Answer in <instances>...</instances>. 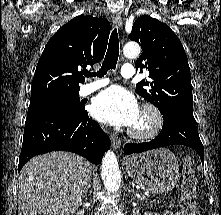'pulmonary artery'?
Returning a JSON list of instances; mask_svg holds the SVG:
<instances>
[{"mask_svg": "<svg viewBox=\"0 0 221 215\" xmlns=\"http://www.w3.org/2000/svg\"><path fill=\"white\" fill-rule=\"evenodd\" d=\"M121 76L124 78H132L135 75V68L131 64H124L121 67ZM110 83V79L105 77H93V81L81 87L80 96H86Z\"/></svg>", "mask_w": 221, "mask_h": 215, "instance_id": "obj_1", "label": "pulmonary artery"}]
</instances>
